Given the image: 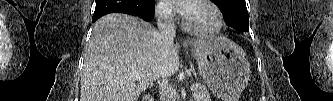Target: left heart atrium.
Listing matches in <instances>:
<instances>
[{
	"label": "left heart atrium",
	"mask_w": 333,
	"mask_h": 101,
	"mask_svg": "<svg viewBox=\"0 0 333 101\" xmlns=\"http://www.w3.org/2000/svg\"><path fill=\"white\" fill-rule=\"evenodd\" d=\"M174 7L182 14L184 15L187 11L188 8V3L186 1H170Z\"/></svg>",
	"instance_id": "39dd6f15"
}]
</instances>
